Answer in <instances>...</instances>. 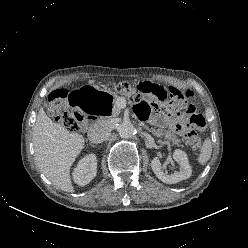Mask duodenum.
<instances>
[{
	"instance_id": "410a0bca",
	"label": "duodenum",
	"mask_w": 248,
	"mask_h": 248,
	"mask_svg": "<svg viewBox=\"0 0 248 248\" xmlns=\"http://www.w3.org/2000/svg\"><path fill=\"white\" fill-rule=\"evenodd\" d=\"M97 118L98 117H96L94 114L86 111V113L83 116L82 124L84 127H88L90 125V123L93 122L94 120H96Z\"/></svg>"
}]
</instances>
